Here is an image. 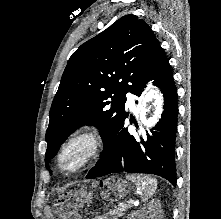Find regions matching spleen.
Here are the masks:
<instances>
[{
    "instance_id": "obj_1",
    "label": "spleen",
    "mask_w": 221,
    "mask_h": 219,
    "mask_svg": "<svg viewBox=\"0 0 221 219\" xmlns=\"http://www.w3.org/2000/svg\"><path fill=\"white\" fill-rule=\"evenodd\" d=\"M135 183L138 194L143 201H147L153 196L157 188V181L149 176H128Z\"/></svg>"
}]
</instances>
